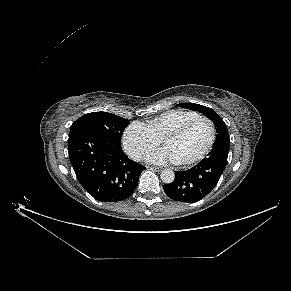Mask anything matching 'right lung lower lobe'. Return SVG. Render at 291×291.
<instances>
[{
	"label": "right lung lower lobe",
	"instance_id": "98d812e1",
	"mask_svg": "<svg viewBox=\"0 0 291 291\" xmlns=\"http://www.w3.org/2000/svg\"><path fill=\"white\" fill-rule=\"evenodd\" d=\"M68 153L81 185L102 202L129 198L145 169L130 160L117 143L91 131L69 134Z\"/></svg>",
	"mask_w": 291,
	"mask_h": 291
}]
</instances>
